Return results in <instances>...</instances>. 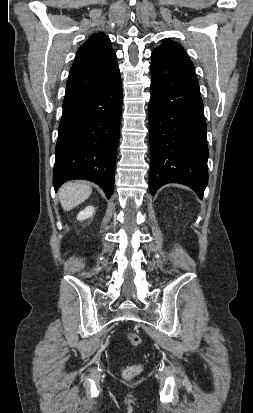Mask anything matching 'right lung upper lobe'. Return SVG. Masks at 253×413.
<instances>
[{
    "label": "right lung upper lobe",
    "mask_w": 253,
    "mask_h": 413,
    "mask_svg": "<svg viewBox=\"0 0 253 413\" xmlns=\"http://www.w3.org/2000/svg\"><path fill=\"white\" fill-rule=\"evenodd\" d=\"M118 69L108 36L95 33L79 48L70 70L64 101L80 97L107 81Z\"/></svg>",
    "instance_id": "cb5924a9"
}]
</instances>
